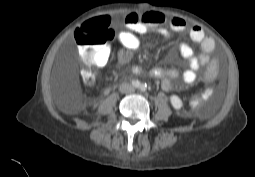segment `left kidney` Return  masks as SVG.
<instances>
[{"mask_svg":"<svg viewBox=\"0 0 255 177\" xmlns=\"http://www.w3.org/2000/svg\"><path fill=\"white\" fill-rule=\"evenodd\" d=\"M170 102L171 105L177 110L180 109L183 105L182 100L177 95L170 96Z\"/></svg>","mask_w":255,"mask_h":177,"instance_id":"1","label":"left kidney"}]
</instances>
